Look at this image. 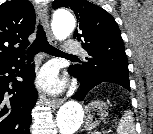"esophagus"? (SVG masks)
Segmentation results:
<instances>
[{
	"instance_id": "esophagus-1",
	"label": "esophagus",
	"mask_w": 153,
	"mask_h": 134,
	"mask_svg": "<svg viewBox=\"0 0 153 134\" xmlns=\"http://www.w3.org/2000/svg\"><path fill=\"white\" fill-rule=\"evenodd\" d=\"M37 13H38V17H39V19L45 29L48 41L51 44H56V41H55L53 34L51 32V29H50L49 17H48V6H47L46 2L41 1L37 4ZM63 101H64L63 99L53 98L51 100V106L53 108H58L63 103Z\"/></svg>"
}]
</instances>
